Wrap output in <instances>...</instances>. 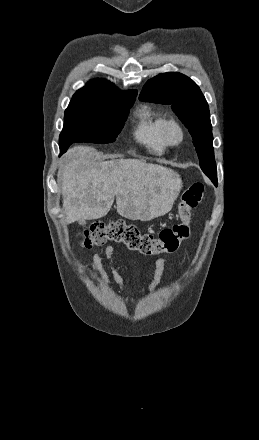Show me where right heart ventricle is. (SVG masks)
I'll use <instances>...</instances> for the list:
<instances>
[{"label":"right heart ventricle","mask_w":259,"mask_h":440,"mask_svg":"<svg viewBox=\"0 0 259 440\" xmlns=\"http://www.w3.org/2000/svg\"><path fill=\"white\" fill-rule=\"evenodd\" d=\"M166 119L167 115L161 109L152 105L142 106L136 115L134 139L152 153L164 152L168 146L162 136Z\"/></svg>","instance_id":"e07e8e85"}]
</instances>
